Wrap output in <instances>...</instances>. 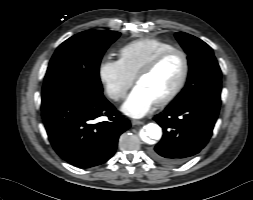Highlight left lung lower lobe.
Here are the masks:
<instances>
[{
  "label": "left lung lower lobe",
  "mask_w": 253,
  "mask_h": 200,
  "mask_svg": "<svg viewBox=\"0 0 253 200\" xmlns=\"http://www.w3.org/2000/svg\"><path fill=\"white\" fill-rule=\"evenodd\" d=\"M221 99L201 96L186 104H170L153 119L162 127L161 141L149 151L157 162L177 165L200 152L208 143Z\"/></svg>",
  "instance_id": "0a47b994"
}]
</instances>
